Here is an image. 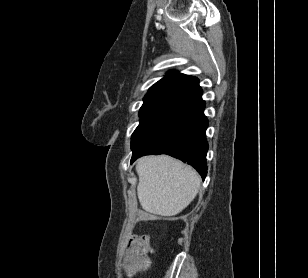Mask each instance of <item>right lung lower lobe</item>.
<instances>
[{
  "label": "right lung lower lobe",
  "mask_w": 308,
  "mask_h": 278,
  "mask_svg": "<svg viewBox=\"0 0 308 278\" xmlns=\"http://www.w3.org/2000/svg\"><path fill=\"white\" fill-rule=\"evenodd\" d=\"M202 101L181 116L175 117L153 137L133 149L131 162L143 155L168 154L192 165L203 180L207 174L206 153L208 126Z\"/></svg>",
  "instance_id": "obj_1"
}]
</instances>
